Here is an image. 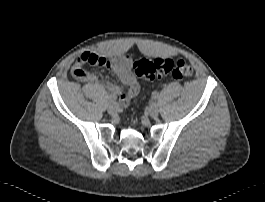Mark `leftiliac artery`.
Listing matches in <instances>:
<instances>
[{
	"label": "left iliac artery",
	"mask_w": 265,
	"mask_h": 202,
	"mask_svg": "<svg viewBox=\"0 0 265 202\" xmlns=\"http://www.w3.org/2000/svg\"><path fill=\"white\" fill-rule=\"evenodd\" d=\"M152 98L157 99V98H158V93L153 92V93H152Z\"/></svg>",
	"instance_id": "44dca946"
}]
</instances>
